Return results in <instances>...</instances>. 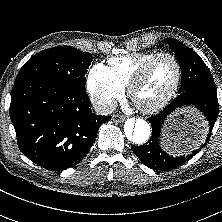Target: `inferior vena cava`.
I'll use <instances>...</instances> for the list:
<instances>
[{"instance_id": "1", "label": "inferior vena cava", "mask_w": 222, "mask_h": 222, "mask_svg": "<svg viewBox=\"0 0 222 222\" xmlns=\"http://www.w3.org/2000/svg\"><path fill=\"white\" fill-rule=\"evenodd\" d=\"M116 103L109 101L107 103H94L93 108L99 115H109L116 109Z\"/></svg>"}]
</instances>
